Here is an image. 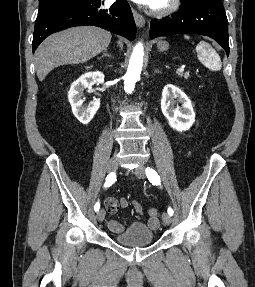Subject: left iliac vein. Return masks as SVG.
Masks as SVG:
<instances>
[{"instance_id": "left-iliac-vein-1", "label": "left iliac vein", "mask_w": 255, "mask_h": 287, "mask_svg": "<svg viewBox=\"0 0 255 287\" xmlns=\"http://www.w3.org/2000/svg\"><path fill=\"white\" fill-rule=\"evenodd\" d=\"M134 173L140 179H144L145 178V170H144L143 166L137 167L135 169ZM162 220H163V223L165 225H170L171 222H172V218H171V216L168 213H163Z\"/></svg>"}]
</instances>
